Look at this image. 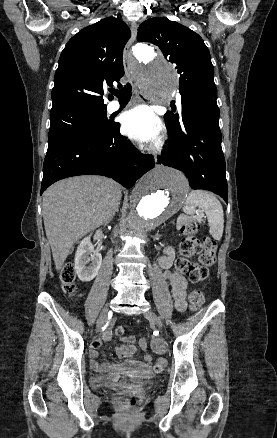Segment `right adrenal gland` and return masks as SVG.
Masks as SVG:
<instances>
[{"instance_id":"2a0ac1e0","label":"right adrenal gland","mask_w":277,"mask_h":438,"mask_svg":"<svg viewBox=\"0 0 277 438\" xmlns=\"http://www.w3.org/2000/svg\"><path fill=\"white\" fill-rule=\"evenodd\" d=\"M118 212H119V208H117L116 214H118ZM114 216H115V214H114ZM112 218H113V216H112ZM112 218H111V220H112Z\"/></svg>"}]
</instances>
